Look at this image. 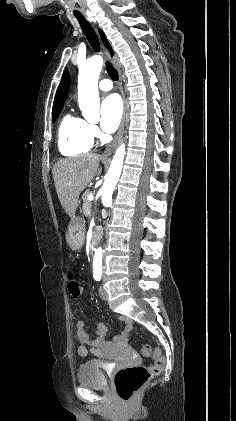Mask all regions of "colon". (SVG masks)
Segmentation results:
<instances>
[{
	"label": "colon",
	"instance_id": "obj_1",
	"mask_svg": "<svg viewBox=\"0 0 236 421\" xmlns=\"http://www.w3.org/2000/svg\"><path fill=\"white\" fill-rule=\"evenodd\" d=\"M68 289L73 298H79L84 290L83 283L73 274L68 278ZM141 352L143 356H152L154 363L151 366L134 365L119 369L114 376V385L117 394L123 401L131 399L133 394L153 376L158 375L164 368L165 357L160 349L154 350L145 344Z\"/></svg>",
	"mask_w": 236,
	"mask_h": 421
}]
</instances>
